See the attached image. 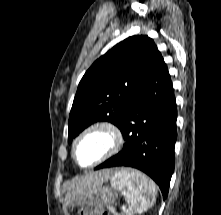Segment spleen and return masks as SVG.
Here are the masks:
<instances>
[{"instance_id":"3e777b00","label":"spleen","mask_w":221,"mask_h":215,"mask_svg":"<svg viewBox=\"0 0 221 215\" xmlns=\"http://www.w3.org/2000/svg\"><path fill=\"white\" fill-rule=\"evenodd\" d=\"M111 185L127 199L135 212H145L156 200V185L144 174L135 170H122L111 178Z\"/></svg>"}]
</instances>
